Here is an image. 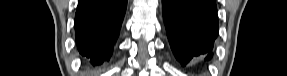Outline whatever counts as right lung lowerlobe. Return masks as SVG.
I'll return each instance as SVG.
<instances>
[{
    "label": "right lung lower lobe",
    "mask_w": 287,
    "mask_h": 76,
    "mask_svg": "<svg viewBox=\"0 0 287 76\" xmlns=\"http://www.w3.org/2000/svg\"><path fill=\"white\" fill-rule=\"evenodd\" d=\"M126 6L127 0H79L75 15L76 43L88 65L109 61Z\"/></svg>",
    "instance_id": "obj_1"
}]
</instances>
